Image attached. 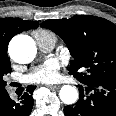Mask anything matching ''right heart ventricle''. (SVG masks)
Listing matches in <instances>:
<instances>
[{
  "label": "right heart ventricle",
  "mask_w": 116,
  "mask_h": 116,
  "mask_svg": "<svg viewBox=\"0 0 116 116\" xmlns=\"http://www.w3.org/2000/svg\"><path fill=\"white\" fill-rule=\"evenodd\" d=\"M35 39H44V40H57L56 34L47 29H37L33 33Z\"/></svg>",
  "instance_id": "e07e8e85"
}]
</instances>
